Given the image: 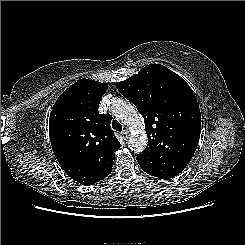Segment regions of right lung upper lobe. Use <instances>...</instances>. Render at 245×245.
I'll return each mask as SVG.
<instances>
[{
	"instance_id": "1",
	"label": "right lung upper lobe",
	"mask_w": 245,
	"mask_h": 245,
	"mask_svg": "<svg viewBox=\"0 0 245 245\" xmlns=\"http://www.w3.org/2000/svg\"><path fill=\"white\" fill-rule=\"evenodd\" d=\"M107 83L82 79L66 89L54 104L49 136L62 168H72L79 183L92 185L103 179L120 143L111 130L112 116L99 114Z\"/></svg>"
}]
</instances>
